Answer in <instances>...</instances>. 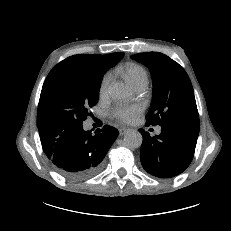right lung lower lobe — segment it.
<instances>
[{
  "instance_id": "right-lung-lower-lobe-1",
  "label": "right lung lower lobe",
  "mask_w": 231,
  "mask_h": 231,
  "mask_svg": "<svg viewBox=\"0 0 231 231\" xmlns=\"http://www.w3.org/2000/svg\"><path fill=\"white\" fill-rule=\"evenodd\" d=\"M43 151L57 171L68 179L79 180L94 175L116 140L117 129L104 126L95 131H84L78 125L53 124L39 128Z\"/></svg>"
}]
</instances>
